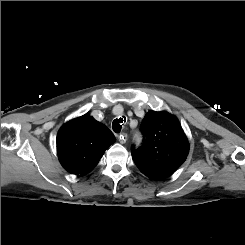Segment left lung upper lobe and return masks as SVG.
I'll return each mask as SVG.
<instances>
[{
	"label": "left lung upper lobe",
	"mask_w": 245,
	"mask_h": 245,
	"mask_svg": "<svg viewBox=\"0 0 245 245\" xmlns=\"http://www.w3.org/2000/svg\"><path fill=\"white\" fill-rule=\"evenodd\" d=\"M143 145L132 147V158L151 179L171 176L186 160L189 142L180 122L168 112H148L142 123Z\"/></svg>",
	"instance_id": "5c2ea615"
}]
</instances>
